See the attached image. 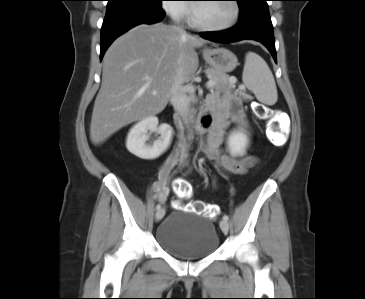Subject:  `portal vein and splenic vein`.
<instances>
[{
	"label": "portal vein and splenic vein",
	"instance_id": "portal-vein-and-splenic-vein-1",
	"mask_svg": "<svg viewBox=\"0 0 365 299\" xmlns=\"http://www.w3.org/2000/svg\"><path fill=\"white\" fill-rule=\"evenodd\" d=\"M216 82L215 80L213 79H210L207 83H206V86L207 88H213L215 86ZM241 89H244V87H242ZM184 90L189 92V93H193L195 91V87L193 85H187L184 87ZM153 95H156L157 92L156 91H153L152 92Z\"/></svg>",
	"mask_w": 365,
	"mask_h": 299
}]
</instances>
